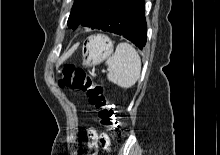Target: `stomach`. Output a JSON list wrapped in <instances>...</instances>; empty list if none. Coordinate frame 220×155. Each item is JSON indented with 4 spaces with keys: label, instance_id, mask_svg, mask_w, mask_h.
<instances>
[{
    "label": "stomach",
    "instance_id": "stomach-1",
    "mask_svg": "<svg viewBox=\"0 0 220 155\" xmlns=\"http://www.w3.org/2000/svg\"><path fill=\"white\" fill-rule=\"evenodd\" d=\"M113 52V42L103 34L90 36L82 47L83 63L86 66L95 65L110 56Z\"/></svg>",
    "mask_w": 220,
    "mask_h": 155
}]
</instances>
